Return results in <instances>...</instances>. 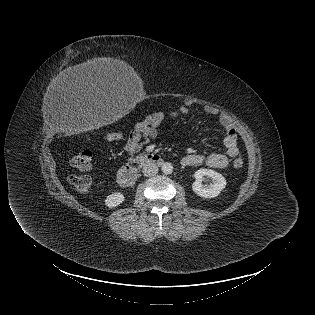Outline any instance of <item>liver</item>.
I'll return each mask as SVG.
<instances>
[{
  "label": "liver",
  "instance_id": "liver-1",
  "mask_svg": "<svg viewBox=\"0 0 315 315\" xmlns=\"http://www.w3.org/2000/svg\"><path fill=\"white\" fill-rule=\"evenodd\" d=\"M59 79L69 84H88L113 81L135 82L138 76L125 61L102 57L65 69L59 74Z\"/></svg>",
  "mask_w": 315,
  "mask_h": 315
}]
</instances>
